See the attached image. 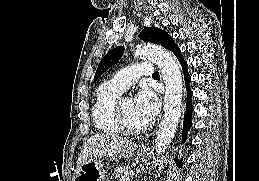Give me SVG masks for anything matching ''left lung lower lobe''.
Instances as JSON below:
<instances>
[{"label":"left lung lower lobe","mask_w":259,"mask_h":181,"mask_svg":"<svg viewBox=\"0 0 259 181\" xmlns=\"http://www.w3.org/2000/svg\"><path fill=\"white\" fill-rule=\"evenodd\" d=\"M169 50L175 54V56L177 57V59L179 60L181 66H182V69L184 72L186 89H187L186 118H185L184 125H183V137H182V141H185L186 134L192 125V123H191V114L193 112V106L191 104L192 91L189 88V83L191 81V77L187 70V62L181 56V50L179 49V47L176 44H173ZM181 164H182V160H180V162H179L180 166H181Z\"/></svg>","instance_id":"obj_1"}]
</instances>
